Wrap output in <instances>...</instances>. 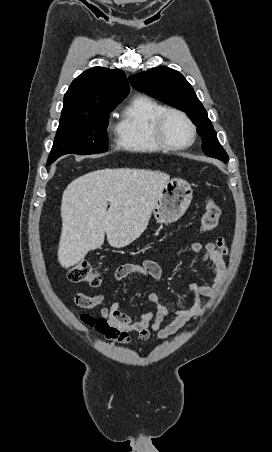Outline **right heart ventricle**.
Here are the masks:
<instances>
[{
	"instance_id": "e07e8e85",
	"label": "right heart ventricle",
	"mask_w": 272,
	"mask_h": 452,
	"mask_svg": "<svg viewBox=\"0 0 272 452\" xmlns=\"http://www.w3.org/2000/svg\"><path fill=\"white\" fill-rule=\"evenodd\" d=\"M163 108V105L149 96L135 97L123 110L116 125L119 146L138 153L165 150L153 131L154 119Z\"/></svg>"
}]
</instances>
